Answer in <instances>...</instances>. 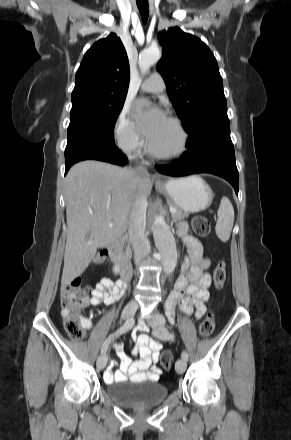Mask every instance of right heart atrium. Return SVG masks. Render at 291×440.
I'll use <instances>...</instances> for the list:
<instances>
[{"label": "right heart atrium", "instance_id": "1", "mask_svg": "<svg viewBox=\"0 0 291 440\" xmlns=\"http://www.w3.org/2000/svg\"><path fill=\"white\" fill-rule=\"evenodd\" d=\"M114 138L120 150L133 154L141 145L140 135L134 122L129 117L128 107L124 106L116 120Z\"/></svg>", "mask_w": 291, "mask_h": 440}]
</instances>
